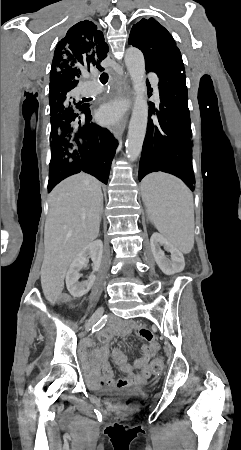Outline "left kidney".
Masks as SVG:
<instances>
[{
  "label": "left kidney",
  "instance_id": "left-kidney-1",
  "mask_svg": "<svg viewBox=\"0 0 241 450\" xmlns=\"http://www.w3.org/2000/svg\"><path fill=\"white\" fill-rule=\"evenodd\" d=\"M151 250L154 256V260L156 264H158L160 270L167 274V276H171V274H177V272H183L185 268V260L183 254L174 248L164 236L161 234H152L150 238ZM161 246H164V250L170 252V260L166 258L163 250H161Z\"/></svg>",
  "mask_w": 241,
  "mask_h": 450
}]
</instances>
